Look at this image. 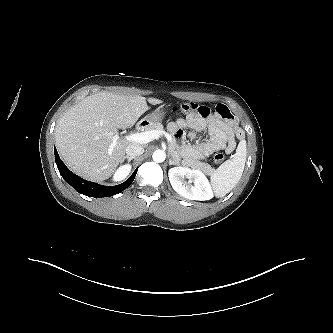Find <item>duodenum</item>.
<instances>
[{"mask_svg":"<svg viewBox=\"0 0 333 333\" xmlns=\"http://www.w3.org/2000/svg\"><path fill=\"white\" fill-rule=\"evenodd\" d=\"M147 126L146 121H141L136 125L137 130H143Z\"/></svg>","mask_w":333,"mask_h":333,"instance_id":"1","label":"duodenum"}]
</instances>
